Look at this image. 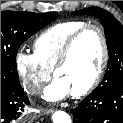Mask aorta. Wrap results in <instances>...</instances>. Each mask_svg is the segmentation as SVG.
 Returning a JSON list of instances; mask_svg holds the SVG:
<instances>
[{"mask_svg": "<svg viewBox=\"0 0 123 123\" xmlns=\"http://www.w3.org/2000/svg\"><path fill=\"white\" fill-rule=\"evenodd\" d=\"M52 121L53 123H72L70 116L64 111H55Z\"/></svg>", "mask_w": 123, "mask_h": 123, "instance_id": "1", "label": "aorta"}]
</instances>
